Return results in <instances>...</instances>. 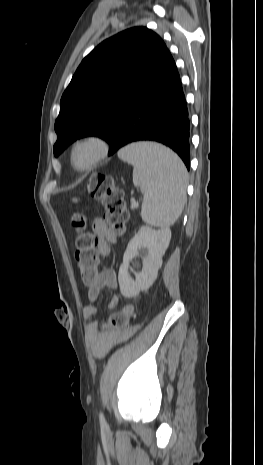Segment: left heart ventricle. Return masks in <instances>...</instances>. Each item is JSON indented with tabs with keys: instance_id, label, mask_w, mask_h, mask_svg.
Masks as SVG:
<instances>
[{
	"instance_id": "b2bd125f",
	"label": "left heart ventricle",
	"mask_w": 263,
	"mask_h": 465,
	"mask_svg": "<svg viewBox=\"0 0 263 465\" xmlns=\"http://www.w3.org/2000/svg\"><path fill=\"white\" fill-rule=\"evenodd\" d=\"M97 148L91 143L77 147L74 153V163L78 167L87 165L95 156Z\"/></svg>"
}]
</instances>
